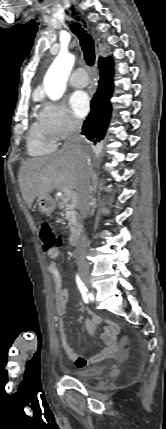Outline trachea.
I'll return each mask as SVG.
<instances>
[{
    "mask_svg": "<svg viewBox=\"0 0 166 429\" xmlns=\"http://www.w3.org/2000/svg\"><path fill=\"white\" fill-rule=\"evenodd\" d=\"M72 32L79 38L82 51L84 53V59L89 66L95 63V47L94 41L91 35L82 29L79 23L70 24Z\"/></svg>",
    "mask_w": 166,
    "mask_h": 429,
    "instance_id": "obj_1",
    "label": "trachea"
}]
</instances>
